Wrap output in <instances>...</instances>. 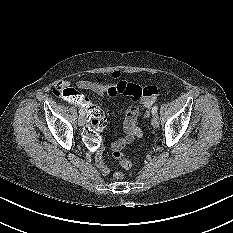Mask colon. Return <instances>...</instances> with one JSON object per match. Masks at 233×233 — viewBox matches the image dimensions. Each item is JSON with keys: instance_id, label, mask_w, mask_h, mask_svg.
<instances>
[{"instance_id": "1", "label": "colon", "mask_w": 233, "mask_h": 233, "mask_svg": "<svg viewBox=\"0 0 233 233\" xmlns=\"http://www.w3.org/2000/svg\"><path fill=\"white\" fill-rule=\"evenodd\" d=\"M54 93L58 96L65 97L70 103L75 104L78 109H86L89 117V126L83 130V141L86 146L87 152L90 155H95L98 148L101 146L103 131L106 125V118L103 112L86 98L81 95L74 88H54ZM145 94L148 96L157 95L158 89L156 87L146 88ZM149 108H146L145 117L149 116ZM113 156L119 160L120 165L128 169L132 167V162L124 158L122 152H114ZM115 177L121 179L122 173H116Z\"/></svg>"}]
</instances>
